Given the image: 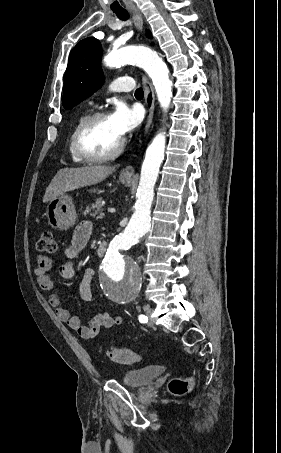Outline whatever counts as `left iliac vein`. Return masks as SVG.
Instances as JSON below:
<instances>
[{"instance_id": "left-iliac-vein-1", "label": "left iliac vein", "mask_w": 281, "mask_h": 453, "mask_svg": "<svg viewBox=\"0 0 281 453\" xmlns=\"http://www.w3.org/2000/svg\"><path fill=\"white\" fill-rule=\"evenodd\" d=\"M153 310H147L145 312V315L149 318V325H154V320H152L153 318H151L150 314L152 313Z\"/></svg>"}]
</instances>
